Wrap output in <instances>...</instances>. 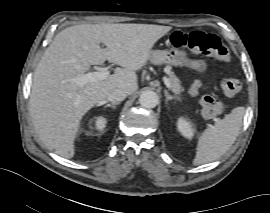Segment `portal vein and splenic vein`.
<instances>
[{
  "label": "portal vein and splenic vein",
  "instance_id": "1",
  "mask_svg": "<svg viewBox=\"0 0 270 213\" xmlns=\"http://www.w3.org/2000/svg\"><path fill=\"white\" fill-rule=\"evenodd\" d=\"M108 76H109V71L107 69H103L102 71H98V72H89L86 74H82V75L70 78L67 81L71 83H75L79 85L80 87H83L85 84L89 82L103 80V79H106ZM163 81L166 87L170 90L171 84L169 82V79L167 77H163Z\"/></svg>",
  "mask_w": 270,
  "mask_h": 213
}]
</instances>
